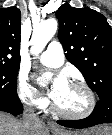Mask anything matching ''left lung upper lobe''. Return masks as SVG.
<instances>
[{
    "label": "left lung upper lobe",
    "mask_w": 112,
    "mask_h": 135,
    "mask_svg": "<svg viewBox=\"0 0 112 135\" xmlns=\"http://www.w3.org/2000/svg\"><path fill=\"white\" fill-rule=\"evenodd\" d=\"M58 38L67 60L83 74L98 97L112 96V29L97 11L68 3L57 11Z\"/></svg>",
    "instance_id": "left-lung-upper-lobe-1"
}]
</instances>
